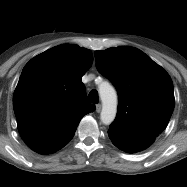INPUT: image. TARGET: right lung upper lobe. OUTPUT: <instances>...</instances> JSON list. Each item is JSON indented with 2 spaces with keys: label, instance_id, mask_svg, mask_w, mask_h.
<instances>
[{
  "label": "right lung upper lobe",
  "instance_id": "1",
  "mask_svg": "<svg viewBox=\"0 0 187 187\" xmlns=\"http://www.w3.org/2000/svg\"><path fill=\"white\" fill-rule=\"evenodd\" d=\"M92 61L90 50L64 44L25 65L13 108L19 133L32 150L40 154L59 150L74 136L82 117L95 110L85 102L81 81Z\"/></svg>",
  "mask_w": 187,
  "mask_h": 187
}]
</instances>
